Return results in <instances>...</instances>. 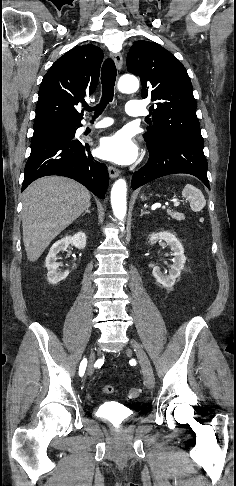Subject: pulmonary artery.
Returning <instances> with one entry per match:
<instances>
[{
  "label": "pulmonary artery",
  "instance_id": "e3ab8cb5",
  "mask_svg": "<svg viewBox=\"0 0 236 486\" xmlns=\"http://www.w3.org/2000/svg\"><path fill=\"white\" fill-rule=\"evenodd\" d=\"M126 113L130 116L136 117V116L144 115L145 110H144V107L141 104V102H139L137 100H130L126 104ZM111 124H112V121L110 119H107V118H105L101 121H98L94 124H89V123L85 122L83 124V126L80 128V131L83 132L86 129H92V130L100 129V128L107 127Z\"/></svg>",
  "mask_w": 236,
  "mask_h": 486
}]
</instances>
